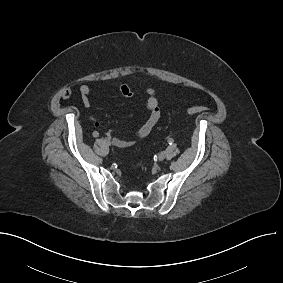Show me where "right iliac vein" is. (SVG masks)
Masks as SVG:
<instances>
[{"instance_id": "obj_1", "label": "right iliac vein", "mask_w": 283, "mask_h": 283, "mask_svg": "<svg viewBox=\"0 0 283 283\" xmlns=\"http://www.w3.org/2000/svg\"><path fill=\"white\" fill-rule=\"evenodd\" d=\"M105 142H106V144H107V145H110V144H111V142H110V139H109V138H106V139H105Z\"/></svg>"}]
</instances>
